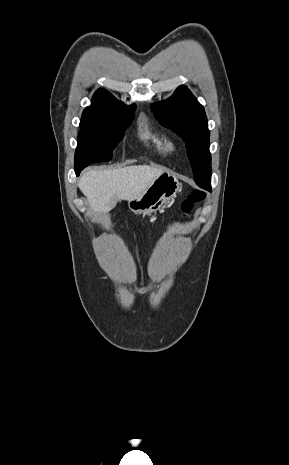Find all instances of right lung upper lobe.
<instances>
[{"label":"right lung upper lobe","mask_w":289,"mask_h":465,"mask_svg":"<svg viewBox=\"0 0 289 465\" xmlns=\"http://www.w3.org/2000/svg\"><path fill=\"white\" fill-rule=\"evenodd\" d=\"M122 102L116 100L110 93L99 89L95 92L91 106L82 115L80 125H104L111 121V108Z\"/></svg>","instance_id":"cb5924a9"}]
</instances>
